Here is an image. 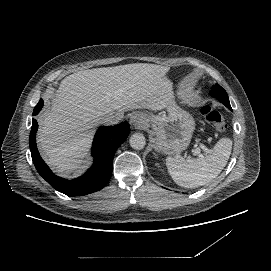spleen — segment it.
Returning <instances> with one entry per match:
<instances>
[{"mask_svg":"<svg viewBox=\"0 0 271 271\" xmlns=\"http://www.w3.org/2000/svg\"><path fill=\"white\" fill-rule=\"evenodd\" d=\"M232 150L229 138L220 139L212 152L205 157L183 158L179 155L166 158V166L175 183L185 188H196L216 178L226 166Z\"/></svg>","mask_w":271,"mask_h":271,"instance_id":"spleen-1","label":"spleen"}]
</instances>
